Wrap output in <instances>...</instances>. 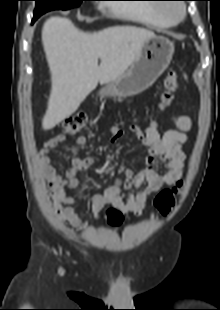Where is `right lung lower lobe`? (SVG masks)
Returning <instances> with one entry per match:
<instances>
[{"mask_svg": "<svg viewBox=\"0 0 220 310\" xmlns=\"http://www.w3.org/2000/svg\"><path fill=\"white\" fill-rule=\"evenodd\" d=\"M38 18H39L38 16H34V17H33V20H32V23H34L35 20H37Z\"/></svg>", "mask_w": 220, "mask_h": 310, "instance_id": "obj_1", "label": "right lung lower lobe"}]
</instances>
